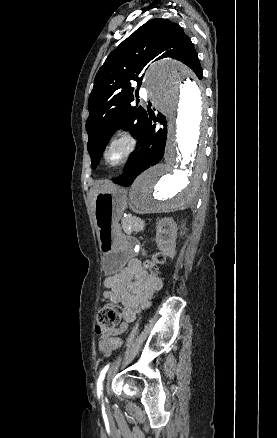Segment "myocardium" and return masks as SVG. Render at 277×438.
<instances>
[{"label": "myocardium", "instance_id": "obj_1", "mask_svg": "<svg viewBox=\"0 0 277 438\" xmlns=\"http://www.w3.org/2000/svg\"><path fill=\"white\" fill-rule=\"evenodd\" d=\"M122 144L124 146V152L121 158L115 162H110L108 160V154L111 149L117 145ZM138 147L137 138L129 131H124L114 136L106 145L102 158L106 166L109 168H119L124 166L129 162V160L134 156Z\"/></svg>", "mask_w": 277, "mask_h": 438}]
</instances>
